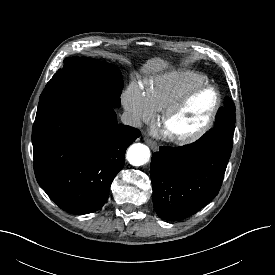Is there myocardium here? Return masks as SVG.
<instances>
[{
    "label": "myocardium",
    "instance_id": "myocardium-1",
    "mask_svg": "<svg viewBox=\"0 0 275 275\" xmlns=\"http://www.w3.org/2000/svg\"><path fill=\"white\" fill-rule=\"evenodd\" d=\"M206 90H212L215 92V95H216L215 105L211 113L209 114L208 118L199 128H197L196 130L188 134L170 135L166 132L169 140L172 141L173 143H176L179 145L192 143L198 140L199 138H201L210 130V128L214 124V121L216 119V116L221 106V94L215 86L210 84H204L189 90L181 98H179L176 102L171 104L162 112L160 123L163 129L166 131V126L168 122L171 120V118H173L177 113H179L196 94Z\"/></svg>",
    "mask_w": 275,
    "mask_h": 275
}]
</instances>
